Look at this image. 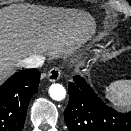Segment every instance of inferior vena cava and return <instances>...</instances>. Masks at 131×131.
<instances>
[{
  "instance_id": "1",
  "label": "inferior vena cava",
  "mask_w": 131,
  "mask_h": 131,
  "mask_svg": "<svg viewBox=\"0 0 131 131\" xmlns=\"http://www.w3.org/2000/svg\"><path fill=\"white\" fill-rule=\"evenodd\" d=\"M45 58L42 55H32L18 62V65L25 68H37L44 63Z\"/></svg>"
}]
</instances>
